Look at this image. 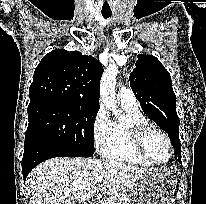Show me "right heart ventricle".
Instances as JSON below:
<instances>
[{"label": "right heart ventricle", "mask_w": 206, "mask_h": 204, "mask_svg": "<svg viewBox=\"0 0 206 204\" xmlns=\"http://www.w3.org/2000/svg\"><path fill=\"white\" fill-rule=\"evenodd\" d=\"M124 114L120 118L110 120L108 135L100 153L103 157L133 165L150 166L136 151L133 142L134 130L149 123L138 107L122 104Z\"/></svg>", "instance_id": "1"}]
</instances>
